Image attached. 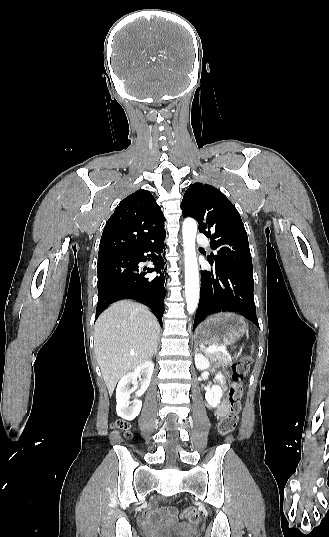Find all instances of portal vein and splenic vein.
<instances>
[{
  "instance_id": "obj_1",
  "label": "portal vein and splenic vein",
  "mask_w": 329,
  "mask_h": 537,
  "mask_svg": "<svg viewBox=\"0 0 329 537\" xmlns=\"http://www.w3.org/2000/svg\"><path fill=\"white\" fill-rule=\"evenodd\" d=\"M225 350H226V347L211 346L205 349V352H215V351H225Z\"/></svg>"
}]
</instances>
